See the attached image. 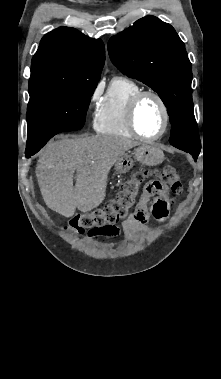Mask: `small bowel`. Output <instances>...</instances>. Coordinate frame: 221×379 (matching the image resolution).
<instances>
[{"instance_id":"1","label":"small bowel","mask_w":221,"mask_h":379,"mask_svg":"<svg viewBox=\"0 0 221 379\" xmlns=\"http://www.w3.org/2000/svg\"><path fill=\"white\" fill-rule=\"evenodd\" d=\"M157 195L152 203L151 213L154 219L164 220L168 213L172 211V202L170 199L172 197H178V190H162L156 191L144 190L143 195L136 206L135 211L122 222V229L127 240H133L137 235L143 234L148 231L147 222L149 219V201L150 199ZM169 197V198H168ZM120 234V230L115 227L114 229L107 231L102 234H90V236H105V237H115Z\"/></svg>"}]
</instances>
